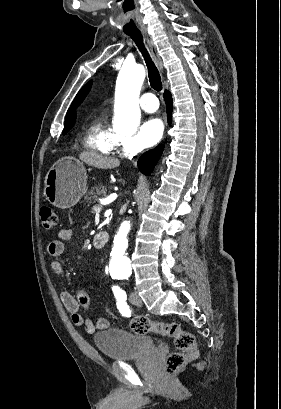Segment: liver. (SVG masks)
Wrapping results in <instances>:
<instances>
[{"mask_svg":"<svg viewBox=\"0 0 281 409\" xmlns=\"http://www.w3.org/2000/svg\"><path fill=\"white\" fill-rule=\"evenodd\" d=\"M79 158L89 166H96V168H114V166L120 164L119 158L104 156V154H99L96 150H84L79 154Z\"/></svg>","mask_w":281,"mask_h":409,"instance_id":"liver-1","label":"liver"}]
</instances>
